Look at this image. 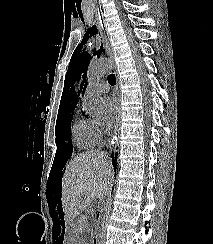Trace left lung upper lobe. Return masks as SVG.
<instances>
[{
	"mask_svg": "<svg viewBox=\"0 0 213 244\" xmlns=\"http://www.w3.org/2000/svg\"><path fill=\"white\" fill-rule=\"evenodd\" d=\"M90 59L91 56L85 51V49L81 51V47L76 49L73 53L65 76L64 90L61 98L62 103L68 102L75 95V87L73 84L76 81L79 82L83 78L81 85H84Z\"/></svg>",
	"mask_w": 213,
	"mask_h": 244,
	"instance_id": "5c2ea615",
	"label": "left lung upper lobe"
}]
</instances>
